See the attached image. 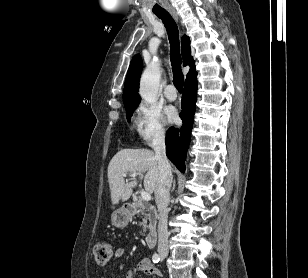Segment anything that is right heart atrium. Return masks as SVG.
Listing matches in <instances>:
<instances>
[{
	"label": "right heart atrium",
	"instance_id": "d8ad5b80",
	"mask_svg": "<svg viewBox=\"0 0 308 278\" xmlns=\"http://www.w3.org/2000/svg\"><path fill=\"white\" fill-rule=\"evenodd\" d=\"M134 127L144 143L161 139L165 135V119L161 111L149 104L141 103L136 108Z\"/></svg>",
	"mask_w": 308,
	"mask_h": 278
}]
</instances>
